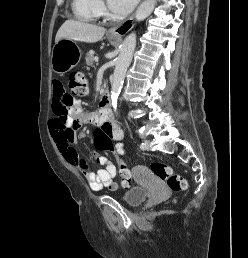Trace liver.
I'll list each match as a JSON object with an SVG mask.
<instances>
[{"mask_svg":"<svg viewBox=\"0 0 248 258\" xmlns=\"http://www.w3.org/2000/svg\"><path fill=\"white\" fill-rule=\"evenodd\" d=\"M105 32L106 29L103 27L70 19L65 21L59 28L55 37V43L64 38L86 43H95L102 39Z\"/></svg>","mask_w":248,"mask_h":258,"instance_id":"6515ba94","label":"liver"}]
</instances>
